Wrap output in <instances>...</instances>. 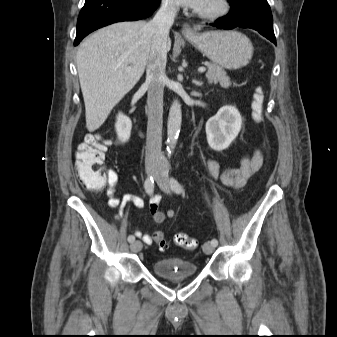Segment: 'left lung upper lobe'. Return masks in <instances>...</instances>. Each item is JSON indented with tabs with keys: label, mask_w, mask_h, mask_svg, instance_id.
<instances>
[{
	"label": "left lung upper lobe",
	"mask_w": 337,
	"mask_h": 337,
	"mask_svg": "<svg viewBox=\"0 0 337 337\" xmlns=\"http://www.w3.org/2000/svg\"><path fill=\"white\" fill-rule=\"evenodd\" d=\"M248 1L250 0H228V2L231 5V9H234L236 8V6L242 5L243 3L248 2ZM264 1L267 2V0H264Z\"/></svg>",
	"instance_id": "5c2ea615"
}]
</instances>
